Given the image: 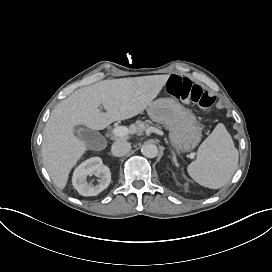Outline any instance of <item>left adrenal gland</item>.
Wrapping results in <instances>:
<instances>
[{"label":"left adrenal gland","mask_w":272,"mask_h":272,"mask_svg":"<svg viewBox=\"0 0 272 272\" xmlns=\"http://www.w3.org/2000/svg\"><path fill=\"white\" fill-rule=\"evenodd\" d=\"M173 159H174V163H175V165H178V163H177V159H176V155L173 153Z\"/></svg>","instance_id":"left-adrenal-gland-1"}]
</instances>
